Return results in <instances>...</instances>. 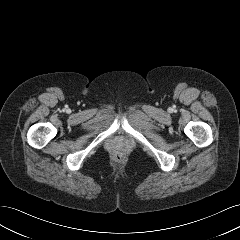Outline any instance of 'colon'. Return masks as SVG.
I'll return each mask as SVG.
<instances>
[{"label": "colon", "instance_id": "1", "mask_svg": "<svg viewBox=\"0 0 240 240\" xmlns=\"http://www.w3.org/2000/svg\"><path fill=\"white\" fill-rule=\"evenodd\" d=\"M115 156H116V158L120 159L122 157V154H121V152L117 151V152H115Z\"/></svg>", "mask_w": 240, "mask_h": 240}]
</instances>
